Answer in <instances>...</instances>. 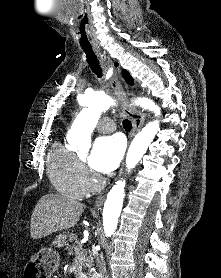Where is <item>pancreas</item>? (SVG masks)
I'll return each mask as SVG.
<instances>
[{"label": "pancreas", "mask_w": 221, "mask_h": 278, "mask_svg": "<svg viewBox=\"0 0 221 278\" xmlns=\"http://www.w3.org/2000/svg\"><path fill=\"white\" fill-rule=\"evenodd\" d=\"M73 241H75L74 244ZM53 245L55 247H62L65 246L68 249V253L70 255H77L81 258V263L83 266L87 268H91L93 264V257L90 251L82 249V247L77 244V237L73 234L64 233L63 235L57 236L54 241Z\"/></svg>", "instance_id": "1"}]
</instances>
